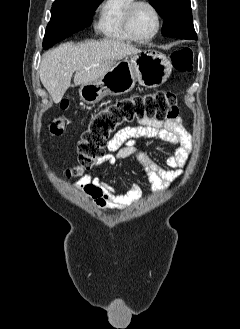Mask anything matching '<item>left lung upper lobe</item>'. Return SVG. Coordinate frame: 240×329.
<instances>
[{
	"mask_svg": "<svg viewBox=\"0 0 240 329\" xmlns=\"http://www.w3.org/2000/svg\"><path fill=\"white\" fill-rule=\"evenodd\" d=\"M164 19L162 34L166 37L197 39L189 0H149Z\"/></svg>",
	"mask_w": 240,
	"mask_h": 329,
	"instance_id": "left-lung-upper-lobe-1",
	"label": "left lung upper lobe"
}]
</instances>
